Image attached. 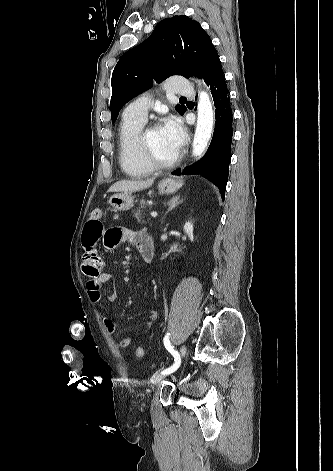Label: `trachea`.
Masks as SVG:
<instances>
[{
  "mask_svg": "<svg viewBox=\"0 0 333 471\" xmlns=\"http://www.w3.org/2000/svg\"><path fill=\"white\" fill-rule=\"evenodd\" d=\"M181 99H186V97H181Z\"/></svg>",
  "mask_w": 333,
  "mask_h": 471,
  "instance_id": "1",
  "label": "trachea"
}]
</instances>
